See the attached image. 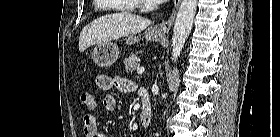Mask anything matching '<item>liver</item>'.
<instances>
[{"label":"liver","mask_w":280,"mask_h":137,"mask_svg":"<svg viewBox=\"0 0 280 137\" xmlns=\"http://www.w3.org/2000/svg\"><path fill=\"white\" fill-rule=\"evenodd\" d=\"M151 20L128 12L109 14L87 24L79 37V51L94 44H102L143 31Z\"/></svg>","instance_id":"6515ba94"}]
</instances>
